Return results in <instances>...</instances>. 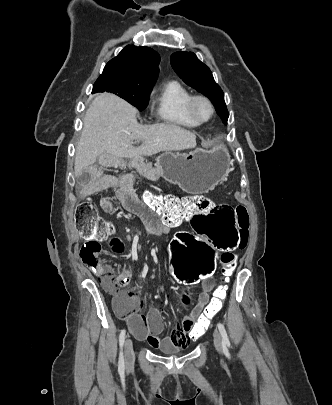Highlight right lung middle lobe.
Returning <instances> with one entry per match:
<instances>
[{
	"mask_svg": "<svg viewBox=\"0 0 332 405\" xmlns=\"http://www.w3.org/2000/svg\"><path fill=\"white\" fill-rule=\"evenodd\" d=\"M154 82H139L119 74H101L93 85V93L111 92L128 101L139 111L148 105Z\"/></svg>",
	"mask_w": 332,
	"mask_h": 405,
	"instance_id": "1",
	"label": "right lung middle lobe"
}]
</instances>
